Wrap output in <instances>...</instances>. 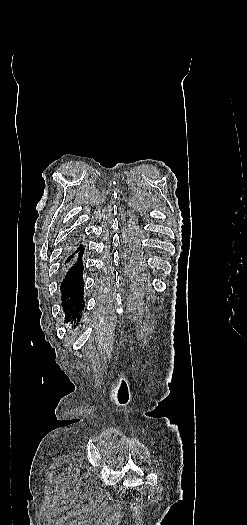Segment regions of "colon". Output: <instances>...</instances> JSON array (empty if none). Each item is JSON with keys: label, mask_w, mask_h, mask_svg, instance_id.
Listing matches in <instances>:
<instances>
[{"label": "colon", "mask_w": 247, "mask_h": 525, "mask_svg": "<svg viewBox=\"0 0 247 525\" xmlns=\"http://www.w3.org/2000/svg\"><path fill=\"white\" fill-rule=\"evenodd\" d=\"M145 494L144 488H126L121 494V498L125 501L140 500Z\"/></svg>", "instance_id": "1"}]
</instances>
